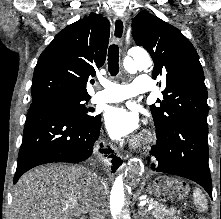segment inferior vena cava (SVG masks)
<instances>
[{
    "label": "inferior vena cava",
    "mask_w": 221,
    "mask_h": 219,
    "mask_svg": "<svg viewBox=\"0 0 221 219\" xmlns=\"http://www.w3.org/2000/svg\"><path fill=\"white\" fill-rule=\"evenodd\" d=\"M93 180V186L92 191H95L96 197L93 199L90 205L89 215L90 219H104L105 218V212L103 210V203L100 198V192L103 190V182L101 180V175H92Z\"/></svg>",
    "instance_id": "obj_1"
}]
</instances>
